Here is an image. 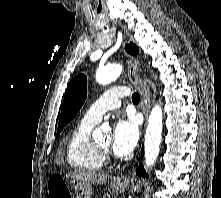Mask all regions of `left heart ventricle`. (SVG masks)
<instances>
[{
    "label": "left heart ventricle",
    "instance_id": "b2bd125f",
    "mask_svg": "<svg viewBox=\"0 0 221 198\" xmlns=\"http://www.w3.org/2000/svg\"><path fill=\"white\" fill-rule=\"evenodd\" d=\"M109 144H110V140H109V139H108V140H105V141L102 143L103 146H109Z\"/></svg>",
    "mask_w": 221,
    "mask_h": 198
}]
</instances>
